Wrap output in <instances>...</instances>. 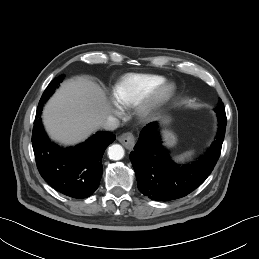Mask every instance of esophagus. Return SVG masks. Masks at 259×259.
Returning a JSON list of instances; mask_svg holds the SVG:
<instances>
[{
	"label": "esophagus",
	"instance_id": "obj_1",
	"mask_svg": "<svg viewBox=\"0 0 259 259\" xmlns=\"http://www.w3.org/2000/svg\"><path fill=\"white\" fill-rule=\"evenodd\" d=\"M119 142L122 143L127 149L131 150L133 149L135 145V136L130 133H123L122 135L119 136L118 138Z\"/></svg>",
	"mask_w": 259,
	"mask_h": 259
}]
</instances>
